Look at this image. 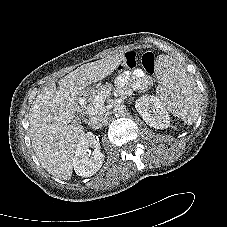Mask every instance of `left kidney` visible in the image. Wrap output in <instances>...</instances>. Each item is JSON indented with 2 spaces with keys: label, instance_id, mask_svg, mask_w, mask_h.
<instances>
[{
  "label": "left kidney",
  "instance_id": "5707ae66",
  "mask_svg": "<svg viewBox=\"0 0 227 227\" xmlns=\"http://www.w3.org/2000/svg\"><path fill=\"white\" fill-rule=\"evenodd\" d=\"M135 108L142 119L151 127L166 129L170 124V117L163 103L155 96L145 95L135 102Z\"/></svg>",
  "mask_w": 227,
  "mask_h": 227
}]
</instances>
